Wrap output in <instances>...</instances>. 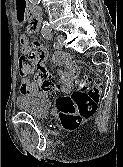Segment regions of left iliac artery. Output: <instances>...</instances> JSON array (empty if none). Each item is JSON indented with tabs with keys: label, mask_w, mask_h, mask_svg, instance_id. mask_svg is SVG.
<instances>
[{
	"label": "left iliac artery",
	"mask_w": 123,
	"mask_h": 167,
	"mask_svg": "<svg viewBox=\"0 0 123 167\" xmlns=\"http://www.w3.org/2000/svg\"><path fill=\"white\" fill-rule=\"evenodd\" d=\"M43 37H45L48 40H51L53 38V32L52 29H49V31L45 34H43ZM56 43H54V47H56Z\"/></svg>",
	"instance_id": "obj_1"
}]
</instances>
